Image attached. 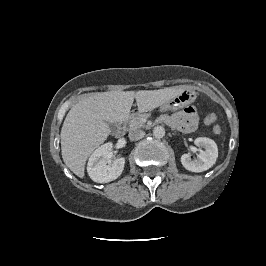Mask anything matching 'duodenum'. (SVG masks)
<instances>
[{
  "label": "duodenum",
  "mask_w": 266,
  "mask_h": 266,
  "mask_svg": "<svg viewBox=\"0 0 266 266\" xmlns=\"http://www.w3.org/2000/svg\"><path fill=\"white\" fill-rule=\"evenodd\" d=\"M123 133H124V126H123L122 123H120V124L117 126V128H116L115 134H116V136L120 137V136L123 135Z\"/></svg>",
  "instance_id": "duodenum-1"
}]
</instances>
